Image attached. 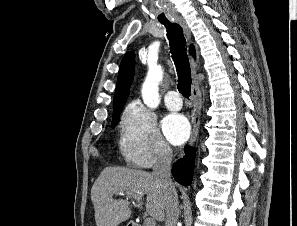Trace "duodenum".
I'll list each match as a JSON object with an SVG mask.
<instances>
[{"label":"duodenum","mask_w":297,"mask_h":226,"mask_svg":"<svg viewBox=\"0 0 297 226\" xmlns=\"http://www.w3.org/2000/svg\"><path fill=\"white\" fill-rule=\"evenodd\" d=\"M129 226H142V225L135 221H132V222H130Z\"/></svg>","instance_id":"duodenum-1"}]
</instances>
